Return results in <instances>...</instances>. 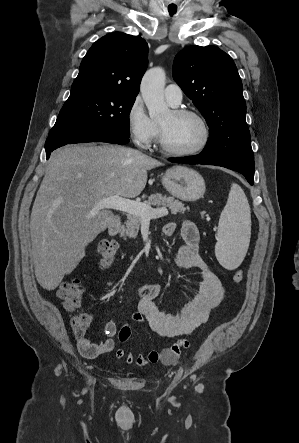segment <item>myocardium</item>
<instances>
[{"label":"myocardium","instance_id":"f54148a6","mask_svg":"<svg viewBox=\"0 0 299 443\" xmlns=\"http://www.w3.org/2000/svg\"><path fill=\"white\" fill-rule=\"evenodd\" d=\"M172 113L176 116H190V117H194L195 119H197L202 126L203 137H202L200 143L192 149L175 150V149L169 148L165 144L163 130H162V127L159 125L158 148L160 149V151L166 155L173 156V157H190V156H194V155L201 153L209 144L210 137H211L210 127H209V124H208L206 118L201 113H199L195 110H192V109L179 108V109L172 110Z\"/></svg>","mask_w":299,"mask_h":443}]
</instances>
